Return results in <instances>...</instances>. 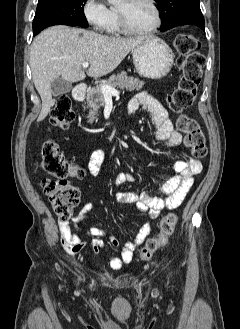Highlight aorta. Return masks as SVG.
Here are the masks:
<instances>
[{
  "instance_id": "obj_1",
  "label": "aorta",
  "mask_w": 240,
  "mask_h": 329,
  "mask_svg": "<svg viewBox=\"0 0 240 329\" xmlns=\"http://www.w3.org/2000/svg\"><path fill=\"white\" fill-rule=\"evenodd\" d=\"M122 0H108L109 3L111 4H119Z\"/></svg>"
}]
</instances>
